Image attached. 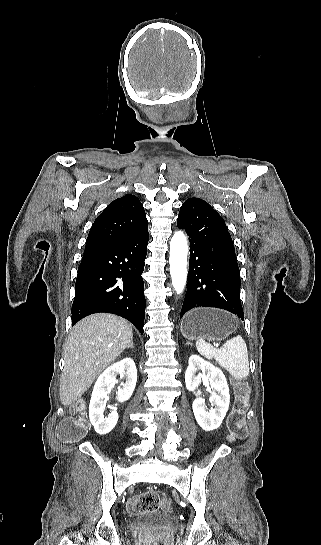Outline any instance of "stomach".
I'll return each mask as SVG.
<instances>
[{
	"mask_svg": "<svg viewBox=\"0 0 321 545\" xmlns=\"http://www.w3.org/2000/svg\"><path fill=\"white\" fill-rule=\"evenodd\" d=\"M238 327V321L221 309H193L181 321V333L186 339L222 341Z\"/></svg>",
	"mask_w": 321,
	"mask_h": 545,
	"instance_id": "1",
	"label": "stomach"
}]
</instances>
